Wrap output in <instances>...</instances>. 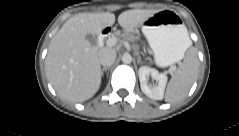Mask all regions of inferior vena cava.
<instances>
[{"mask_svg":"<svg viewBox=\"0 0 239 136\" xmlns=\"http://www.w3.org/2000/svg\"><path fill=\"white\" fill-rule=\"evenodd\" d=\"M99 62L104 67L111 66L116 60V52L111 48H103L98 53Z\"/></svg>","mask_w":239,"mask_h":136,"instance_id":"obj_1","label":"inferior vena cava"}]
</instances>
